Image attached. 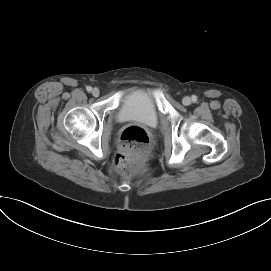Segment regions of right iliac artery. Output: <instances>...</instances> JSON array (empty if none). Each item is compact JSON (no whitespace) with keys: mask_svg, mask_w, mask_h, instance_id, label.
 <instances>
[{"mask_svg":"<svg viewBox=\"0 0 271 271\" xmlns=\"http://www.w3.org/2000/svg\"><path fill=\"white\" fill-rule=\"evenodd\" d=\"M86 90H87L88 92H91V91H92V88H91L90 86H87V87H86Z\"/></svg>","mask_w":271,"mask_h":271,"instance_id":"obj_1","label":"right iliac artery"}]
</instances>
